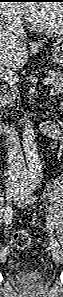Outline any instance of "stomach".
Returning a JSON list of instances; mask_svg holds the SVG:
<instances>
[{
	"label": "stomach",
	"instance_id": "0dacf381",
	"mask_svg": "<svg viewBox=\"0 0 63 297\" xmlns=\"http://www.w3.org/2000/svg\"><path fill=\"white\" fill-rule=\"evenodd\" d=\"M52 58L59 66H63V43L58 41L51 49Z\"/></svg>",
	"mask_w": 63,
	"mask_h": 297
}]
</instances>
